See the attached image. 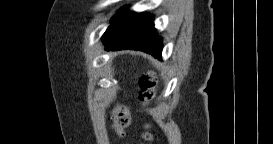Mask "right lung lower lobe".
<instances>
[{"label": "right lung lower lobe", "mask_w": 273, "mask_h": 144, "mask_svg": "<svg viewBox=\"0 0 273 144\" xmlns=\"http://www.w3.org/2000/svg\"><path fill=\"white\" fill-rule=\"evenodd\" d=\"M153 19L150 14L120 9L102 37L106 50L130 48L160 57L162 38L154 28Z\"/></svg>", "instance_id": "obj_1"}]
</instances>
